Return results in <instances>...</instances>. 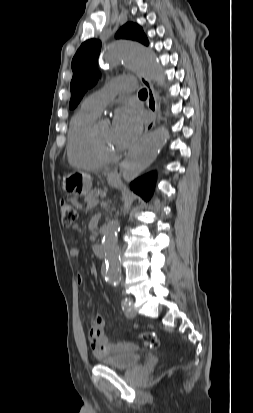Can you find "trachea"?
<instances>
[{
  "label": "trachea",
  "mask_w": 253,
  "mask_h": 413,
  "mask_svg": "<svg viewBox=\"0 0 253 413\" xmlns=\"http://www.w3.org/2000/svg\"><path fill=\"white\" fill-rule=\"evenodd\" d=\"M139 96H145V97H147V90H146V89H142V90L139 92Z\"/></svg>",
  "instance_id": "1"
}]
</instances>
